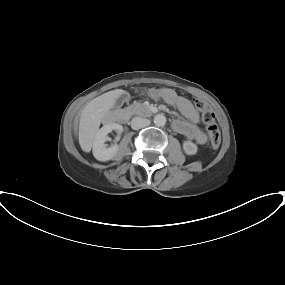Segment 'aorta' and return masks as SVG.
I'll list each match as a JSON object with an SVG mask.
<instances>
[{
  "instance_id": "aorta-1",
  "label": "aorta",
  "mask_w": 285,
  "mask_h": 285,
  "mask_svg": "<svg viewBox=\"0 0 285 285\" xmlns=\"http://www.w3.org/2000/svg\"><path fill=\"white\" fill-rule=\"evenodd\" d=\"M166 117L164 114H157L155 117H154V124L158 127H162L166 124Z\"/></svg>"
}]
</instances>
